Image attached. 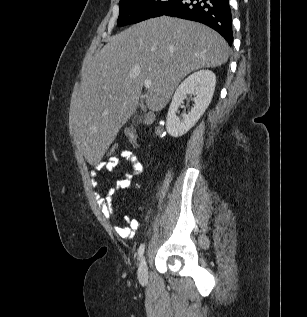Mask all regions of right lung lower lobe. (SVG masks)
<instances>
[{"mask_svg":"<svg viewBox=\"0 0 307 317\" xmlns=\"http://www.w3.org/2000/svg\"><path fill=\"white\" fill-rule=\"evenodd\" d=\"M162 15L203 23L221 34L229 45H232L229 0H176Z\"/></svg>","mask_w":307,"mask_h":317,"instance_id":"obj_1","label":"right lung lower lobe"}]
</instances>
